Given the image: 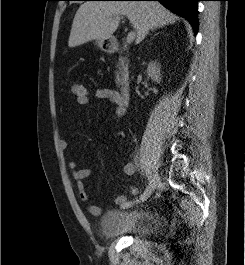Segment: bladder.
Listing matches in <instances>:
<instances>
[{
    "label": "bladder",
    "mask_w": 245,
    "mask_h": 265,
    "mask_svg": "<svg viewBox=\"0 0 245 265\" xmlns=\"http://www.w3.org/2000/svg\"><path fill=\"white\" fill-rule=\"evenodd\" d=\"M162 229L154 214L140 209H110L101 215L99 230L105 236L149 237Z\"/></svg>",
    "instance_id": "1"
}]
</instances>
